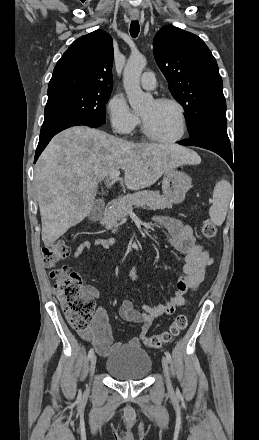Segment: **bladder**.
<instances>
[{"mask_svg":"<svg viewBox=\"0 0 259 440\" xmlns=\"http://www.w3.org/2000/svg\"><path fill=\"white\" fill-rule=\"evenodd\" d=\"M152 361L141 347L121 345L114 349L105 362L106 371L120 381H139L151 371Z\"/></svg>","mask_w":259,"mask_h":440,"instance_id":"obj_1","label":"bladder"}]
</instances>
